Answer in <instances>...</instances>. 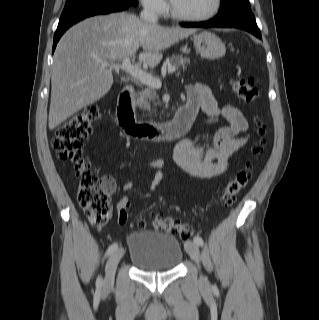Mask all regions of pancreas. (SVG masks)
I'll return each instance as SVG.
<instances>
[{
	"instance_id": "cf45deb5",
	"label": "pancreas",
	"mask_w": 319,
	"mask_h": 320,
	"mask_svg": "<svg viewBox=\"0 0 319 320\" xmlns=\"http://www.w3.org/2000/svg\"><path fill=\"white\" fill-rule=\"evenodd\" d=\"M169 63L175 68L182 67L183 69H186L187 65L190 64V59L179 54L172 55L169 59ZM137 104L143 111H151L152 107L159 104V97L155 89L152 87L143 89Z\"/></svg>"
}]
</instances>
